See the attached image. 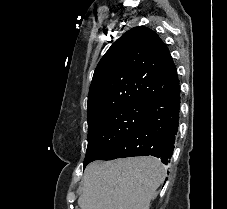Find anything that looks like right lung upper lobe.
I'll return each instance as SVG.
<instances>
[{
    "label": "right lung upper lobe",
    "mask_w": 227,
    "mask_h": 209,
    "mask_svg": "<svg viewBox=\"0 0 227 209\" xmlns=\"http://www.w3.org/2000/svg\"><path fill=\"white\" fill-rule=\"evenodd\" d=\"M173 65L166 44L153 30L138 26L116 40L98 63L88 95V119L102 111L105 99L124 98L148 104L169 91L165 69Z\"/></svg>",
    "instance_id": "obj_1"
}]
</instances>
